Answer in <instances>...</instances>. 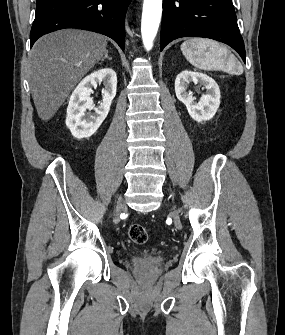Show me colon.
Listing matches in <instances>:
<instances>
[{"label":"colon","instance_id":"obj_1","mask_svg":"<svg viewBox=\"0 0 285 335\" xmlns=\"http://www.w3.org/2000/svg\"><path fill=\"white\" fill-rule=\"evenodd\" d=\"M128 235L135 244H144L148 239L146 228L140 224H132L128 229Z\"/></svg>","mask_w":285,"mask_h":335}]
</instances>
